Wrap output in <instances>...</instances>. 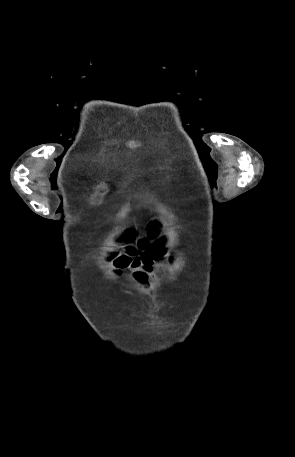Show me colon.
Returning a JSON list of instances; mask_svg holds the SVG:
<instances>
[{"label":"colon","mask_w":295,"mask_h":457,"mask_svg":"<svg viewBox=\"0 0 295 457\" xmlns=\"http://www.w3.org/2000/svg\"><path fill=\"white\" fill-rule=\"evenodd\" d=\"M135 253L133 251L127 252L125 255L118 257L115 260V266L119 269L126 268L129 266L134 265L133 255Z\"/></svg>","instance_id":"1"}]
</instances>
